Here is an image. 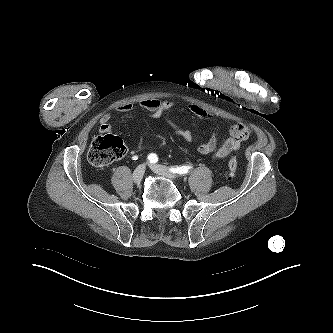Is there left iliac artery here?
<instances>
[{"mask_svg":"<svg viewBox=\"0 0 333 333\" xmlns=\"http://www.w3.org/2000/svg\"><path fill=\"white\" fill-rule=\"evenodd\" d=\"M192 169L191 166H180L170 168V171L177 174H187Z\"/></svg>","mask_w":333,"mask_h":333,"instance_id":"1","label":"left iliac artery"}]
</instances>
